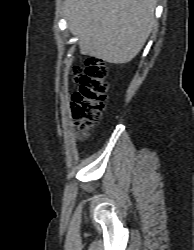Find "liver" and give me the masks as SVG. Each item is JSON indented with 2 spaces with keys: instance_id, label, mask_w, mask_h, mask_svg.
Segmentation results:
<instances>
[{
  "instance_id": "obj_1",
  "label": "liver",
  "mask_w": 194,
  "mask_h": 250,
  "mask_svg": "<svg viewBox=\"0 0 194 250\" xmlns=\"http://www.w3.org/2000/svg\"><path fill=\"white\" fill-rule=\"evenodd\" d=\"M157 0H65L64 16L83 55L130 62L155 24Z\"/></svg>"
}]
</instances>
